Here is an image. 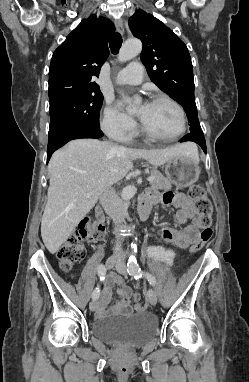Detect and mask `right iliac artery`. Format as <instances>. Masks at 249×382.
I'll return each mask as SVG.
<instances>
[{"instance_id":"82829eb1","label":"right iliac artery","mask_w":249,"mask_h":382,"mask_svg":"<svg viewBox=\"0 0 249 382\" xmlns=\"http://www.w3.org/2000/svg\"><path fill=\"white\" fill-rule=\"evenodd\" d=\"M98 275H99L100 281L105 280L106 268L103 264H100L98 266ZM99 295H100V286L98 285L92 293V298L97 299L99 297Z\"/></svg>"}]
</instances>
